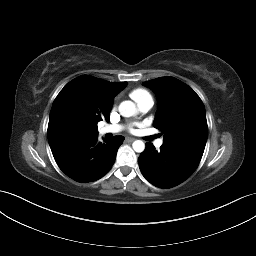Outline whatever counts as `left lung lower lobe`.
I'll return each mask as SVG.
<instances>
[{"mask_svg": "<svg viewBox=\"0 0 256 256\" xmlns=\"http://www.w3.org/2000/svg\"><path fill=\"white\" fill-rule=\"evenodd\" d=\"M138 161L143 176L159 188H171L182 183L198 166V163L166 150L162 146L160 151H156L151 143H146V148L140 154Z\"/></svg>", "mask_w": 256, "mask_h": 256, "instance_id": "0a47b994", "label": "left lung lower lobe"}]
</instances>
